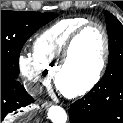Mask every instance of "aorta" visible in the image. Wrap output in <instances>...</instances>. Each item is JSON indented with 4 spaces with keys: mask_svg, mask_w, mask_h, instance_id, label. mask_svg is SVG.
Here are the masks:
<instances>
[{
    "mask_svg": "<svg viewBox=\"0 0 123 123\" xmlns=\"http://www.w3.org/2000/svg\"><path fill=\"white\" fill-rule=\"evenodd\" d=\"M48 117L53 123H66L67 121L65 110L57 105H53L48 109Z\"/></svg>",
    "mask_w": 123,
    "mask_h": 123,
    "instance_id": "aorta-1",
    "label": "aorta"
}]
</instances>
